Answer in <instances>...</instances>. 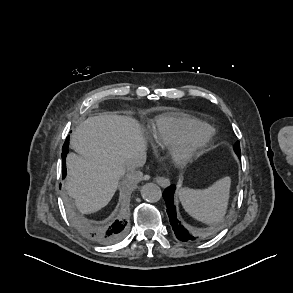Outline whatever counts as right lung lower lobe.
Here are the masks:
<instances>
[{"label": "right lung lower lobe", "mask_w": 293, "mask_h": 293, "mask_svg": "<svg viewBox=\"0 0 293 293\" xmlns=\"http://www.w3.org/2000/svg\"><path fill=\"white\" fill-rule=\"evenodd\" d=\"M69 138L66 139L62 148V167L63 177L66 176V163L65 158L68 153ZM92 231L93 239L101 244H112L123 238L127 230V221L125 219H117L108 227L98 229H88Z\"/></svg>", "instance_id": "98d812e1"}]
</instances>
